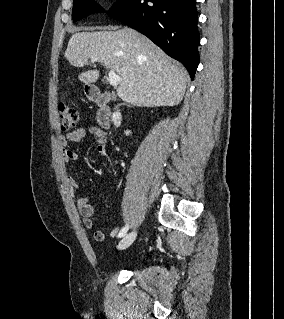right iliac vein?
Here are the masks:
<instances>
[{
    "label": "right iliac vein",
    "instance_id": "63e3f726",
    "mask_svg": "<svg viewBox=\"0 0 284 319\" xmlns=\"http://www.w3.org/2000/svg\"><path fill=\"white\" fill-rule=\"evenodd\" d=\"M136 236H137L136 231H132L129 234H126L119 242L118 249L124 250L128 248L134 242V240L136 239Z\"/></svg>",
    "mask_w": 284,
    "mask_h": 319
}]
</instances>
